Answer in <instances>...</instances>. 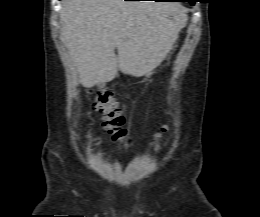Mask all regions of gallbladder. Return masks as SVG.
I'll return each instance as SVG.
<instances>
[{
    "mask_svg": "<svg viewBox=\"0 0 260 217\" xmlns=\"http://www.w3.org/2000/svg\"><path fill=\"white\" fill-rule=\"evenodd\" d=\"M98 86L102 87V86H103V83H99Z\"/></svg>",
    "mask_w": 260,
    "mask_h": 217,
    "instance_id": "obj_1",
    "label": "gallbladder"
}]
</instances>
